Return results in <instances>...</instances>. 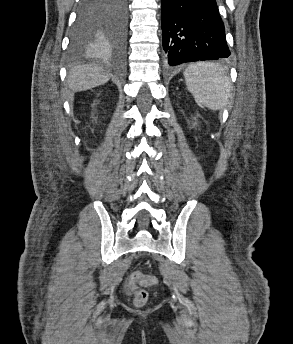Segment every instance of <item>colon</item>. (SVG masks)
Listing matches in <instances>:
<instances>
[{"instance_id": "1", "label": "colon", "mask_w": 293, "mask_h": 344, "mask_svg": "<svg viewBox=\"0 0 293 344\" xmlns=\"http://www.w3.org/2000/svg\"><path fill=\"white\" fill-rule=\"evenodd\" d=\"M145 279L142 273L135 272L131 274L129 283L132 286L134 292V303L136 306L141 307L146 304L148 300V292L138 287V284Z\"/></svg>"}]
</instances>
